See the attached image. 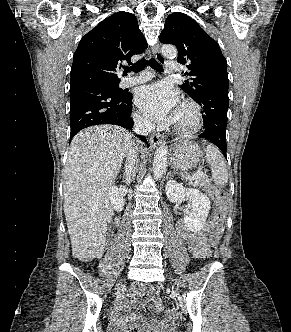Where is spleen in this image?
<instances>
[{
  "label": "spleen",
  "instance_id": "3e777b00",
  "mask_svg": "<svg viewBox=\"0 0 291 332\" xmlns=\"http://www.w3.org/2000/svg\"><path fill=\"white\" fill-rule=\"evenodd\" d=\"M206 161L211 166L212 179L220 186L225 185L228 182V172L224 158L220 151L213 145H207L206 147ZM181 177L187 178V174L181 173Z\"/></svg>",
  "mask_w": 291,
  "mask_h": 332
}]
</instances>
